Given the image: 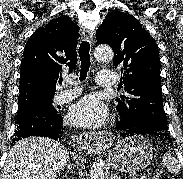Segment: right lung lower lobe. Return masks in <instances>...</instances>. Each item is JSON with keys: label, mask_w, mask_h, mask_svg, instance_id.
I'll use <instances>...</instances> for the list:
<instances>
[{"label": "right lung lower lobe", "mask_w": 183, "mask_h": 179, "mask_svg": "<svg viewBox=\"0 0 183 179\" xmlns=\"http://www.w3.org/2000/svg\"><path fill=\"white\" fill-rule=\"evenodd\" d=\"M64 128L61 114H34L17 125L13 143L29 136H44L60 141Z\"/></svg>", "instance_id": "right-lung-lower-lobe-1"}]
</instances>
